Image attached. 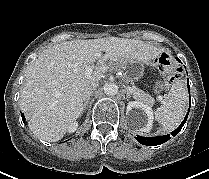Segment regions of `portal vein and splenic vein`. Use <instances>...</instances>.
<instances>
[{
  "label": "portal vein and splenic vein",
  "mask_w": 209,
  "mask_h": 179,
  "mask_svg": "<svg viewBox=\"0 0 209 179\" xmlns=\"http://www.w3.org/2000/svg\"><path fill=\"white\" fill-rule=\"evenodd\" d=\"M96 70H99V71L104 72V71L107 70V67L102 66V67H100V68H97ZM93 71H94V67H93V66H89V67L86 68L85 74H86L87 76H90V75L93 73ZM128 89H129L130 92L132 91V88H131V87H129ZM159 100L162 101V97H161V96L159 97Z\"/></svg>",
  "instance_id": "obj_1"
}]
</instances>
